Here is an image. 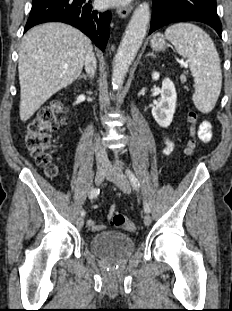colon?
Returning <instances> with one entry per match:
<instances>
[{
	"label": "colon",
	"instance_id": "colon-1",
	"mask_svg": "<svg viewBox=\"0 0 232 311\" xmlns=\"http://www.w3.org/2000/svg\"><path fill=\"white\" fill-rule=\"evenodd\" d=\"M60 111V101H54L49 105L42 107L37 115L28 123L24 136L27 150L34 157L36 162L44 167L48 176H56L58 173L57 167L52 161L49 147L51 144V133L55 132L60 126L58 116ZM187 119L190 124L189 134L191 137L187 151L191 152L197 143V113L190 111ZM112 223L115 227L129 232L137 231L136 224L119 213L112 215Z\"/></svg>",
	"mask_w": 232,
	"mask_h": 311
}]
</instances>
